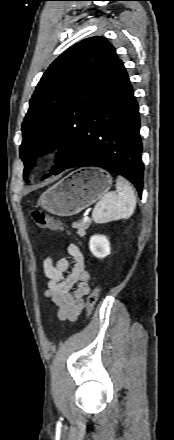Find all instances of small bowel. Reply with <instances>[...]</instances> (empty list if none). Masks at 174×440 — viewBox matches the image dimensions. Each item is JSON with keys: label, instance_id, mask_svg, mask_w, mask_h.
<instances>
[{"label": "small bowel", "instance_id": "obj_1", "mask_svg": "<svg viewBox=\"0 0 174 440\" xmlns=\"http://www.w3.org/2000/svg\"><path fill=\"white\" fill-rule=\"evenodd\" d=\"M69 258L43 262L48 289L44 296L51 300L61 321H75L85 306L84 297L89 293L90 274L85 270L84 257L80 249L69 244Z\"/></svg>", "mask_w": 174, "mask_h": 440}]
</instances>
